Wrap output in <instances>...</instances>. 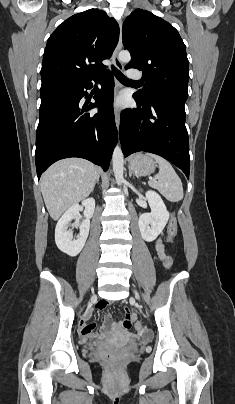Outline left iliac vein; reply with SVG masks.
Returning a JSON list of instances; mask_svg holds the SVG:
<instances>
[{
	"label": "left iliac vein",
	"instance_id": "1",
	"mask_svg": "<svg viewBox=\"0 0 235 404\" xmlns=\"http://www.w3.org/2000/svg\"><path fill=\"white\" fill-rule=\"evenodd\" d=\"M135 295H136V298L139 299V295L137 293Z\"/></svg>",
	"mask_w": 235,
	"mask_h": 404
}]
</instances>
